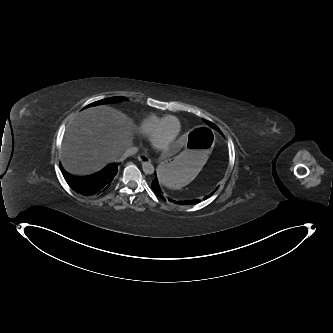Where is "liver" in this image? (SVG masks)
<instances>
[{
  "mask_svg": "<svg viewBox=\"0 0 333 333\" xmlns=\"http://www.w3.org/2000/svg\"><path fill=\"white\" fill-rule=\"evenodd\" d=\"M134 129L132 120L109 106L83 110L66 129L61 147L64 168L74 175L101 170L132 145ZM186 143L184 137H177L160 150V157L169 159Z\"/></svg>",
  "mask_w": 333,
  "mask_h": 333,
  "instance_id": "1",
  "label": "liver"
}]
</instances>
